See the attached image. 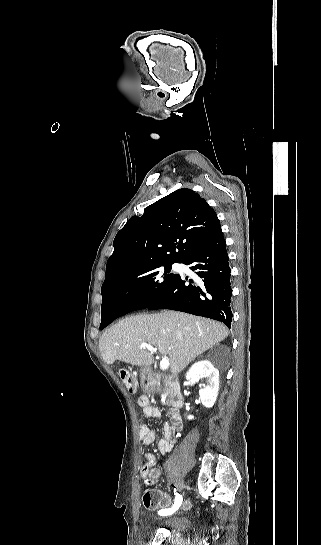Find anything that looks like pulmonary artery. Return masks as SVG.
<instances>
[{
	"label": "pulmonary artery",
	"instance_id": "pulmonary-artery-1",
	"mask_svg": "<svg viewBox=\"0 0 321 545\" xmlns=\"http://www.w3.org/2000/svg\"><path fill=\"white\" fill-rule=\"evenodd\" d=\"M180 266H181L180 264L175 263V264L172 265V268H173L174 270H176V269H178Z\"/></svg>",
	"mask_w": 321,
	"mask_h": 545
}]
</instances>
